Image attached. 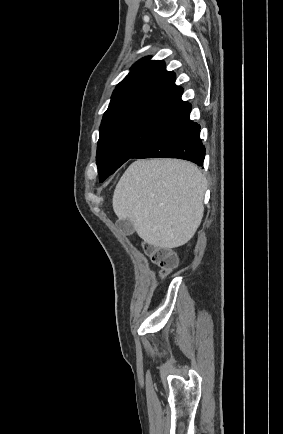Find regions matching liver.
I'll list each match as a JSON object with an SVG mask.
<instances>
[{
  "label": "liver",
  "mask_w": 283,
  "mask_h": 434,
  "mask_svg": "<svg viewBox=\"0 0 283 434\" xmlns=\"http://www.w3.org/2000/svg\"><path fill=\"white\" fill-rule=\"evenodd\" d=\"M206 188V178L190 162L137 160L116 185L113 210L145 243L172 249L186 244L200 226Z\"/></svg>",
  "instance_id": "liver-1"
}]
</instances>
